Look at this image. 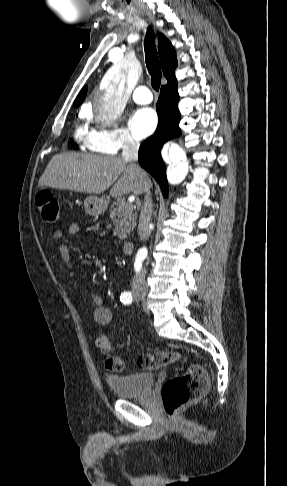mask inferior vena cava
<instances>
[{
  "mask_svg": "<svg viewBox=\"0 0 287 486\" xmlns=\"http://www.w3.org/2000/svg\"><path fill=\"white\" fill-rule=\"evenodd\" d=\"M139 142H136L131 136H126L123 145L122 157L125 161L133 162L138 160ZM146 193L144 203L142 205L138 224V235L141 241H146L151 232L149 229V221L152 214V199L150 189L144 191ZM146 269L143 268L140 273L133 279L132 288L134 290H147Z\"/></svg>",
  "mask_w": 287,
  "mask_h": 486,
  "instance_id": "1",
  "label": "inferior vena cava"
}]
</instances>
